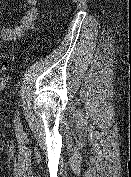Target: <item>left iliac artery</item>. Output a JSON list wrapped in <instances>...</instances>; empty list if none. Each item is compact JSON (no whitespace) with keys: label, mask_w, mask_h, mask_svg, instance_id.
<instances>
[{"label":"left iliac artery","mask_w":131,"mask_h":177,"mask_svg":"<svg viewBox=\"0 0 131 177\" xmlns=\"http://www.w3.org/2000/svg\"><path fill=\"white\" fill-rule=\"evenodd\" d=\"M15 121H17V123H19V118L17 117V119Z\"/></svg>","instance_id":"obj_1"}]
</instances>
